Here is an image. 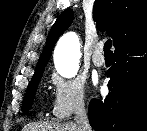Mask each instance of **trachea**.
<instances>
[{
	"mask_svg": "<svg viewBox=\"0 0 147 131\" xmlns=\"http://www.w3.org/2000/svg\"><path fill=\"white\" fill-rule=\"evenodd\" d=\"M111 47H112V41L111 40H107L104 44V53L105 54H111Z\"/></svg>",
	"mask_w": 147,
	"mask_h": 131,
	"instance_id": "trachea-1",
	"label": "trachea"
}]
</instances>
